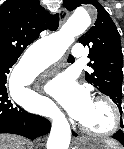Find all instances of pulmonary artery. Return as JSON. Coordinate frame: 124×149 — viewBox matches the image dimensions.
I'll return each mask as SVG.
<instances>
[{"label": "pulmonary artery", "mask_w": 124, "mask_h": 149, "mask_svg": "<svg viewBox=\"0 0 124 149\" xmlns=\"http://www.w3.org/2000/svg\"><path fill=\"white\" fill-rule=\"evenodd\" d=\"M71 54L75 58L82 59L85 55V46H84V44H82V43L76 44L72 48Z\"/></svg>", "instance_id": "e3ab8cb5"}]
</instances>
